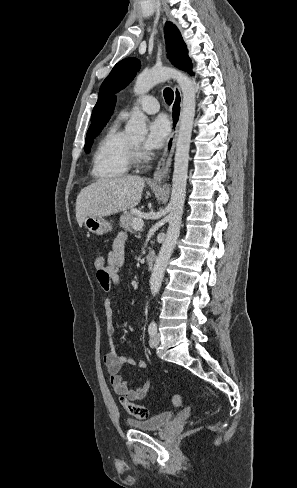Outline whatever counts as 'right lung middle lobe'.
<instances>
[{
	"instance_id": "dd1d6c3e",
	"label": "right lung middle lobe",
	"mask_w": 297,
	"mask_h": 488,
	"mask_svg": "<svg viewBox=\"0 0 297 488\" xmlns=\"http://www.w3.org/2000/svg\"><path fill=\"white\" fill-rule=\"evenodd\" d=\"M103 126H101L100 128H98L92 135L86 137V143H85V146H84V150L86 153H89L90 152V148L92 146V143H93V140L97 137V135L100 133V131L102 130Z\"/></svg>"
}]
</instances>
